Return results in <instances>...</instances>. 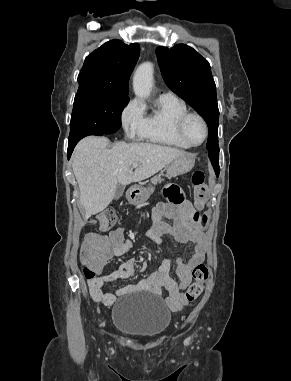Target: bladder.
<instances>
[{
	"mask_svg": "<svg viewBox=\"0 0 291 381\" xmlns=\"http://www.w3.org/2000/svg\"><path fill=\"white\" fill-rule=\"evenodd\" d=\"M172 314L158 296L127 294L112 308L114 327L138 338H151L163 334L170 325Z\"/></svg>",
	"mask_w": 291,
	"mask_h": 381,
	"instance_id": "1",
	"label": "bladder"
}]
</instances>
